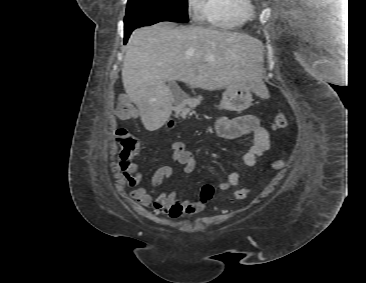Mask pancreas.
Wrapping results in <instances>:
<instances>
[{"mask_svg": "<svg viewBox=\"0 0 366 283\" xmlns=\"http://www.w3.org/2000/svg\"><path fill=\"white\" fill-rule=\"evenodd\" d=\"M201 99V97H199L198 99H192L186 102V104L188 105V107H186V104L181 105L176 113L177 115L185 118L186 115L189 113L190 109Z\"/></svg>", "mask_w": 366, "mask_h": 283, "instance_id": "cf45deb5", "label": "pancreas"}]
</instances>
